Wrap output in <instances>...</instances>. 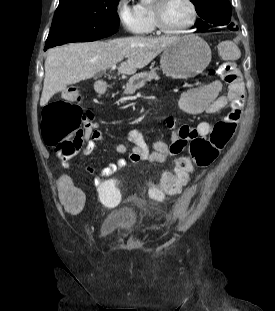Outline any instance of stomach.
Segmentation results:
<instances>
[{
  "mask_svg": "<svg viewBox=\"0 0 275 311\" xmlns=\"http://www.w3.org/2000/svg\"><path fill=\"white\" fill-rule=\"evenodd\" d=\"M211 61V49L198 35L177 37L163 51L160 68L174 79H188L202 73Z\"/></svg>",
  "mask_w": 275,
  "mask_h": 311,
  "instance_id": "stomach-1",
  "label": "stomach"
}]
</instances>
